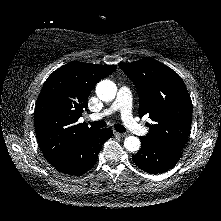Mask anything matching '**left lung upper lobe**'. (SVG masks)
Returning <instances> with one entry per match:
<instances>
[{
	"mask_svg": "<svg viewBox=\"0 0 221 221\" xmlns=\"http://www.w3.org/2000/svg\"><path fill=\"white\" fill-rule=\"evenodd\" d=\"M119 66L134 82L139 93V113L153 124L142 136L147 142L182 151L189 136L192 101L181 77L168 66L145 58Z\"/></svg>",
	"mask_w": 221,
	"mask_h": 221,
	"instance_id": "left-lung-upper-lobe-1",
	"label": "left lung upper lobe"
}]
</instances>
